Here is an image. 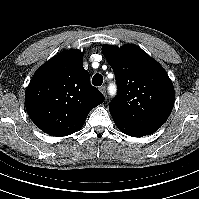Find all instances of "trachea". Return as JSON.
<instances>
[{"label": "trachea", "instance_id": "1", "mask_svg": "<svg viewBox=\"0 0 199 199\" xmlns=\"http://www.w3.org/2000/svg\"><path fill=\"white\" fill-rule=\"evenodd\" d=\"M103 83V76L101 74H95L92 78V84L94 86H101Z\"/></svg>", "mask_w": 199, "mask_h": 199}]
</instances>
